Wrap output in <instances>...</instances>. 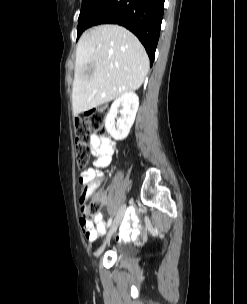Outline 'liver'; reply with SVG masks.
<instances>
[{
  "mask_svg": "<svg viewBox=\"0 0 247 304\" xmlns=\"http://www.w3.org/2000/svg\"><path fill=\"white\" fill-rule=\"evenodd\" d=\"M149 58L138 38L119 25L85 31L76 49L72 110L76 116L142 85Z\"/></svg>",
  "mask_w": 247,
  "mask_h": 304,
  "instance_id": "6515ba94",
  "label": "liver"
}]
</instances>
